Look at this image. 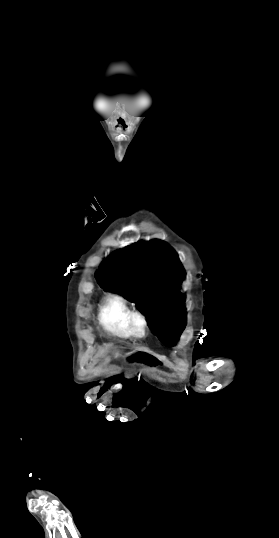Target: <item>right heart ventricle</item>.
<instances>
[{"instance_id": "obj_1", "label": "right heart ventricle", "mask_w": 279, "mask_h": 538, "mask_svg": "<svg viewBox=\"0 0 279 538\" xmlns=\"http://www.w3.org/2000/svg\"><path fill=\"white\" fill-rule=\"evenodd\" d=\"M102 217L97 214L90 217L82 225L84 235L101 236ZM133 312L127 301L120 295H111L106 298L99 311V320L110 333L120 337H130L129 317Z\"/></svg>"}]
</instances>
